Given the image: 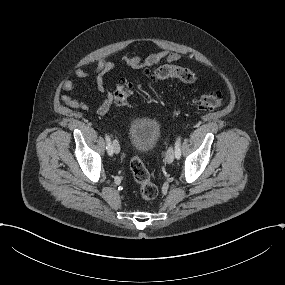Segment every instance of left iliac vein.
<instances>
[{
    "label": "left iliac vein",
    "instance_id": "obj_1",
    "mask_svg": "<svg viewBox=\"0 0 285 285\" xmlns=\"http://www.w3.org/2000/svg\"><path fill=\"white\" fill-rule=\"evenodd\" d=\"M174 157H178L174 154V149L173 147H169V149L167 150V156H166V163L170 164L173 162Z\"/></svg>",
    "mask_w": 285,
    "mask_h": 285
}]
</instances>
